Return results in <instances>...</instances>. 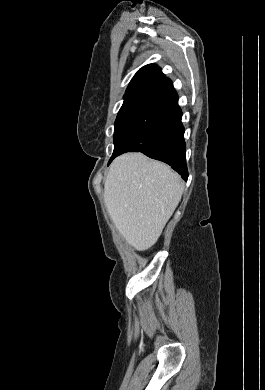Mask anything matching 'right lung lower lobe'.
<instances>
[{"label": "right lung lower lobe", "instance_id": "1", "mask_svg": "<svg viewBox=\"0 0 265 390\" xmlns=\"http://www.w3.org/2000/svg\"><path fill=\"white\" fill-rule=\"evenodd\" d=\"M182 111L175 89L154 100L127 127L118 141L109 163L125 152H142L163 161L188 178Z\"/></svg>", "mask_w": 265, "mask_h": 390}]
</instances>
